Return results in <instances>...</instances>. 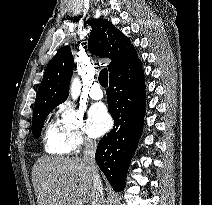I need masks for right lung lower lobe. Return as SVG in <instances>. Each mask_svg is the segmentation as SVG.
<instances>
[{
  "instance_id": "1",
  "label": "right lung lower lobe",
  "mask_w": 212,
  "mask_h": 205,
  "mask_svg": "<svg viewBox=\"0 0 212 205\" xmlns=\"http://www.w3.org/2000/svg\"><path fill=\"white\" fill-rule=\"evenodd\" d=\"M114 128L97 147L96 161L114 190H123L146 111L145 76L139 58L110 75L107 90Z\"/></svg>"
}]
</instances>
